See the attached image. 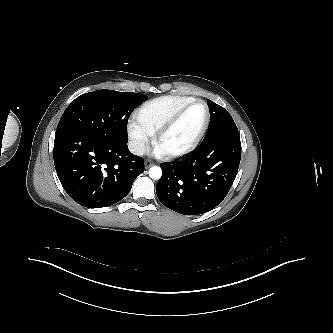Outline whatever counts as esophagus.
<instances>
[{"mask_svg": "<svg viewBox=\"0 0 333 333\" xmlns=\"http://www.w3.org/2000/svg\"><path fill=\"white\" fill-rule=\"evenodd\" d=\"M151 166H153V163H152V162H150V161H146V162H145V168H146V169L150 168Z\"/></svg>", "mask_w": 333, "mask_h": 333, "instance_id": "1", "label": "esophagus"}]
</instances>
